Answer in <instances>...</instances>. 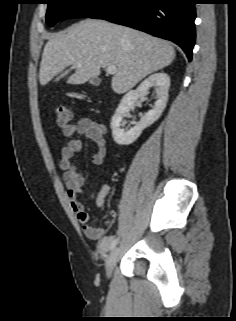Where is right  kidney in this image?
<instances>
[{
  "label": "right kidney",
  "instance_id": "obj_1",
  "mask_svg": "<svg viewBox=\"0 0 236 321\" xmlns=\"http://www.w3.org/2000/svg\"><path fill=\"white\" fill-rule=\"evenodd\" d=\"M152 86L157 87V100L153 109L142 116L134 127H131L129 130L122 129L121 127L124 125L123 118L140 97L147 95L149 88ZM169 87L170 77L166 73H154L145 79L136 90L128 92L122 98L111 120L112 136L117 144L129 145L133 143L145 128L159 119L166 107Z\"/></svg>",
  "mask_w": 236,
  "mask_h": 321
}]
</instances>
